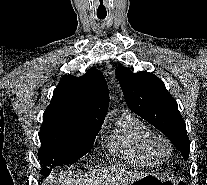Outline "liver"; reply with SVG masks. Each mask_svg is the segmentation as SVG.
Segmentation results:
<instances>
[{
  "instance_id": "obj_1",
  "label": "liver",
  "mask_w": 207,
  "mask_h": 185,
  "mask_svg": "<svg viewBox=\"0 0 207 185\" xmlns=\"http://www.w3.org/2000/svg\"><path fill=\"white\" fill-rule=\"evenodd\" d=\"M47 183H52V181H47ZM71 183H73V181H67V185H71ZM44 185H46V183H44Z\"/></svg>"
}]
</instances>
